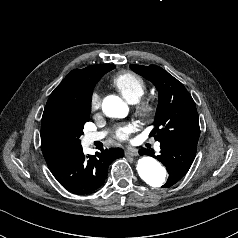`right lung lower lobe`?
Here are the masks:
<instances>
[{"mask_svg": "<svg viewBox=\"0 0 238 238\" xmlns=\"http://www.w3.org/2000/svg\"><path fill=\"white\" fill-rule=\"evenodd\" d=\"M121 148L101 149L95 155L85 156L82 146L61 164L50 168L56 180L67 190L87 194L98 190L107 178L108 166L123 157Z\"/></svg>", "mask_w": 238, "mask_h": 238, "instance_id": "1", "label": "right lung lower lobe"}]
</instances>
